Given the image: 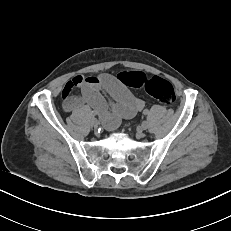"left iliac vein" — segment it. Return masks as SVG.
Wrapping results in <instances>:
<instances>
[{"mask_svg":"<svg viewBox=\"0 0 231 231\" xmlns=\"http://www.w3.org/2000/svg\"><path fill=\"white\" fill-rule=\"evenodd\" d=\"M149 127V123L147 121H143L141 124V129L146 130Z\"/></svg>","mask_w":231,"mask_h":231,"instance_id":"1","label":"left iliac vein"}]
</instances>
